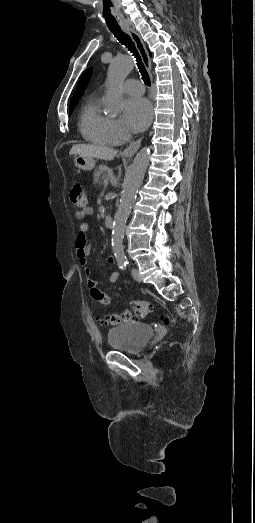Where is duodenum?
I'll use <instances>...</instances> for the list:
<instances>
[{"label": "duodenum", "mask_w": 255, "mask_h": 523, "mask_svg": "<svg viewBox=\"0 0 255 523\" xmlns=\"http://www.w3.org/2000/svg\"><path fill=\"white\" fill-rule=\"evenodd\" d=\"M104 223L107 228H113V217L111 215H106Z\"/></svg>", "instance_id": "obj_1"}]
</instances>
